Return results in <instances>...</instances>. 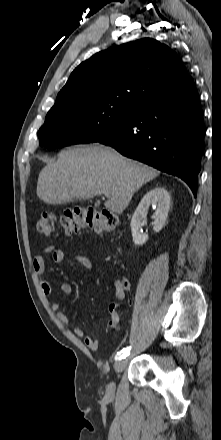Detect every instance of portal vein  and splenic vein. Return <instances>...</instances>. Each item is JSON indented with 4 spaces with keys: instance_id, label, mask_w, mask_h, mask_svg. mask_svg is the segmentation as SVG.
<instances>
[{
    "instance_id": "portal-vein-and-splenic-vein-1",
    "label": "portal vein and splenic vein",
    "mask_w": 221,
    "mask_h": 440,
    "mask_svg": "<svg viewBox=\"0 0 221 440\" xmlns=\"http://www.w3.org/2000/svg\"><path fill=\"white\" fill-rule=\"evenodd\" d=\"M102 194H104L105 196H109V194L106 191H101Z\"/></svg>"
}]
</instances>
